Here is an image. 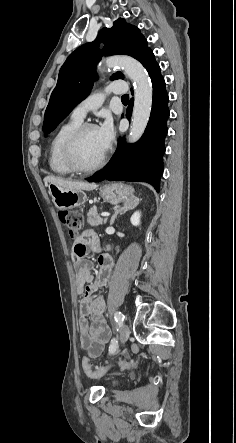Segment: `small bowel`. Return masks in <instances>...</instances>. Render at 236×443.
Returning a JSON list of instances; mask_svg holds the SVG:
<instances>
[{
    "mask_svg": "<svg viewBox=\"0 0 236 443\" xmlns=\"http://www.w3.org/2000/svg\"><path fill=\"white\" fill-rule=\"evenodd\" d=\"M79 246H83L86 253L88 249L100 251L102 244L95 232L87 231L75 240L73 249ZM72 259L77 267L76 292L81 296L77 321L79 341L92 357H98L110 339V330L104 319L105 298L98 290L109 282L113 260L101 254L98 258L100 268L93 275L91 263L84 256L75 260L72 255Z\"/></svg>",
    "mask_w": 236,
    "mask_h": 443,
    "instance_id": "small-bowel-1",
    "label": "small bowel"
}]
</instances>
